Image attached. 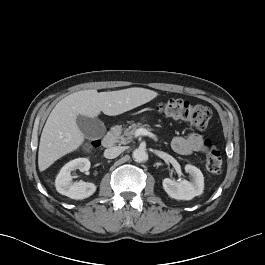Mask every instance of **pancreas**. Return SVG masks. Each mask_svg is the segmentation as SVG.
Returning <instances> with one entry per match:
<instances>
[{"label":"pancreas","mask_w":265,"mask_h":265,"mask_svg":"<svg viewBox=\"0 0 265 265\" xmlns=\"http://www.w3.org/2000/svg\"><path fill=\"white\" fill-rule=\"evenodd\" d=\"M141 128L140 124H131L128 128L124 130L122 128H117L112 131L115 135V142L119 144H128L133 141L135 131ZM150 130V129H149Z\"/></svg>","instance_id":"cf45deb5"}]
</instances>
